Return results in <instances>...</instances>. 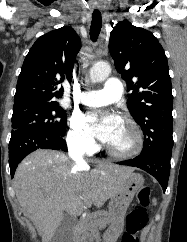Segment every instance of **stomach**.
<instances>
[{"instance_id":"1","label":"stomach","mask_w":187,"mask_h":242,"mask_svg":"<svg viewBox=\"0 0 187 242\" xmlns=\"http://www.w3.org/2000/svg\"><path fill=\"white\" fill-rule=\"evenodd\" d=\"M143 184L142 175L131 172L123 188L111 198L108 212L109 226L103 234L104 242H116L123 231L127 208Z\"/></svg>"}]
</instances>
